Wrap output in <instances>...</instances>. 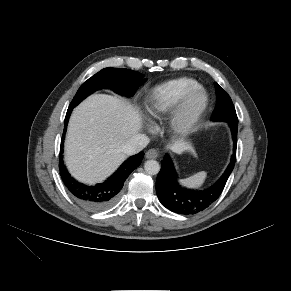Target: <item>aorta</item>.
<instances>
[{"label": "aorta", "mask_w": 291, "mask_h": 291, "mask_svg": "<svg viewBox=\"0 0 291 291\" xmlns=\"http://www.w3.org/2000/svg\"><path fill=\"white\" fill-rule=\"evenodd\" d=\"M144 169L149 175H156L160 171V165L156 160H147L144 164Z\"/></svg>", "instance_id": "aorta-1"}]
</instances>
